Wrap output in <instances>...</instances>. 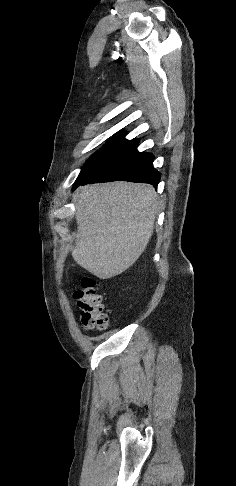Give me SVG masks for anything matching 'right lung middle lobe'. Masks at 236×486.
Returning <instances> with one entry per match:
<instances>
[{
    "label": "right lung middle lobe",
    "instance_id": "1",
    "mask_svg": "<svg viewBox=\"0 0 236 486\" xmlns=\"http://www.w3.org/2000/svg\"><path fill=\"white\" fill-rule=\"evenodd\" d=\"M124 133H120L112 138L110 141L104 145L99 151L94 153L87 163L82 168L74 187L77 186L81 181H83L94 169L101 165L105 160L112 156L115 152L125 146L129 140L124 138Z\"/></svg>",
    "mask_w": 236,
    "mask_h": 486
}]
</instances>
